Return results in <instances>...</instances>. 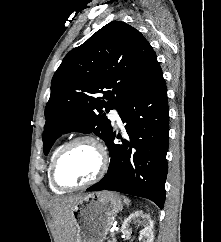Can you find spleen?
I'll return each mask as SVG.
<instances>
[{"instance_id": "1", "label": "spleen", "mask_w": 221, "mask_h": 242, "mask_svg": "<svg viewBox=\"0 0 221 242\" xmlns=\"http://www.w3.org/2000/svg\"><path fill=\"white\" fill-rule=\"evenodd\" d=\"M123 198H124L125 203H126L127 205H129V204H130V200H129L128 198H126V197H123Z\"/></svg>"}]
</instances>
